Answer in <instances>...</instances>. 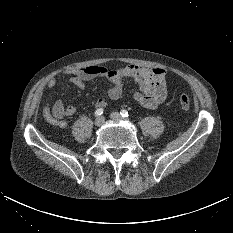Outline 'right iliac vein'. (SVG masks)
I'll return each mask as SVG.
<instances>
[{
    "label": "right iliac vein",
    "instance_id": "right-iliac-vein-1",
    "mask_svg": "<svg viewBox=\"0 0 233 233\" xmlns=\"http://www.w3.org/2000/svg\"><path fill=\"white\" fill-rule=\"evenodd\" d=\"M104 122H105L104 117H98V118H96V120H95V125H96L97 127H100V126H102V125L104 124Z\"/></svg>",
    "mask_w": 233,
    "mask_h": 233
}]
</instances>
